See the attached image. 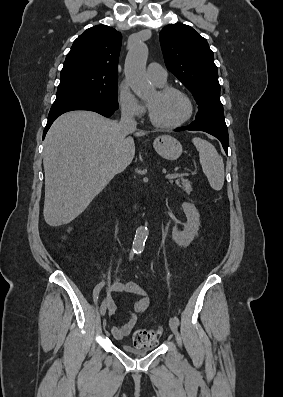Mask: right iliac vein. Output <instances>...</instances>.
Masks as SVG:
<instances>
[{
    "label": "right iliac vein",
    "instance_id": "obj_1",
    "mask_svg": "<svg viewBox=\"0 0 283 397\" xmlns=\"http://www.w3.org/2000/svg\"><path fill=\"white\" fill-rule=\"evenodd\" d=\"M100 313H101L102 316L105 315V313H106V303L103 306H101Z\"/></svg>",
    "mask_w": 283,
    "mask_h": 397
}]
</instances>
